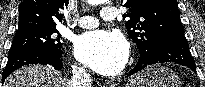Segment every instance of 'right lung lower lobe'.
<instances>
[{"label": "right lung lower lobe", "mask_w": 205, "mask_h": 87, "mask_svg": "<svg viewBox=\"0 0 205 87\" xmlns=\"http://www.w3.org/2000/svg\"><path fill=\"white\" fill-rule=\"evenodd\" d=\"M62 55L50 54L34 48L10 49L7 65L2 74V83L6 77L17 68L27 64L51 65L55 69L62 68Z\"/></svg>", "instance_id": "obj_1"}]
</instances>
